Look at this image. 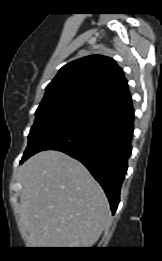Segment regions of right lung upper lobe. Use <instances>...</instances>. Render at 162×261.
I'll list each match as a JSON object with an SVG mask.
<instances>
[{"label":"right lung upper lobe","mask_w":162,"mask_h":261,"mask_svg":"<svg viewBox=\"0 0 162 261\" xmlns=\"http://www.w3.org/2000/svg\"><path fill=\"white\" fill-rule=\"evenodd\" d=\"M81 92L104 104L129 95L122 69L109 57L86 56L66 64L46 87L45 96Z\"/></svg>","instance_id":"cb5924a9"}]
</instances>
